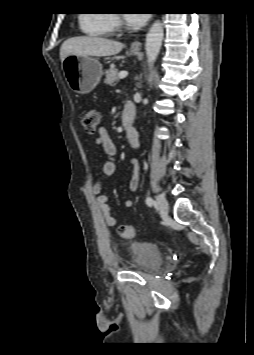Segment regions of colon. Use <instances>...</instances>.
<instances>
[{
    "instance_id": "colon-1",
    "label": "colon",
    "mask_w": 254,
    "mask_h": 355,
    "mask_svg": "<svg viewBox=\"0 0 254 355\" xmlns=\"http://www.w3.org/2000/svg\"><path fill=\"white\" fill-rule=\"evenodd\" d=\"M99 120V112L94 108L86 110L82 115V125L91 134L97 130ZM118 232L123 238H132L136 233V227L134 225H121L118 228Z\"/></svg>"
}]
</instances>
